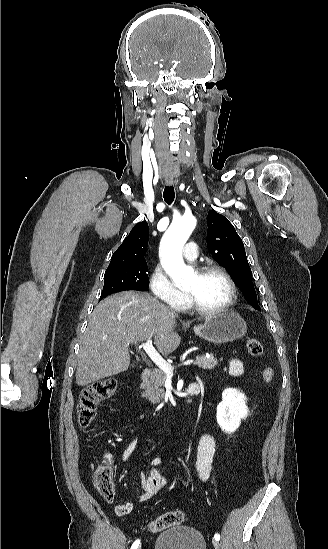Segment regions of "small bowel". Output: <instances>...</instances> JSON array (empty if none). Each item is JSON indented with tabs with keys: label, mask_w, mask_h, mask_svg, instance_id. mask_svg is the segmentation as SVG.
I'll list each match as a JSON object with an SVG mask.
<instances>
[{
	"label": "small bowel",
	"mask_w": 328,
	"mask_h": 549,
	"mask_svg": "<svg viewBox=\"0 0 328 549\" xmlns=\"http://www.w3.org/2000/svg\"><path fill=\"white\" fill-rule=\"evenodd\" d=\"M229 372L234 377H239L244 372L243 363L238 359H231L228 363ZM137 445V438H133L121 453L120 458L126 461L130 458ZM215 451V438L210 432L202 434L196 445V470L200 480L206 481L212 470L213 456ZM115 458L111 453H106L102 456V462L106 464L110 469L114 464ZM163 463L161 457H154L149 461V468L147 471L140 473V483L142 488V494L139 496L138 501L143 503L154 497L159 491L164 489L168 482L161 476L158 466ZM133 502H127L116 509L117 514L124 515L130 513L134 509Z\"/></svg>",
	"instance_id": "c3829d8e"
}]
</instances>
